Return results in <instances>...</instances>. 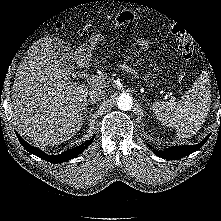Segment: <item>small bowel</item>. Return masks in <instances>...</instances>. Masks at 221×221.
Listing matches in <instances>:
<instances>
[{
    "mask_svg": "<svg viewBox=\"0 0 221 221\" xmlns=\"http://www.w3.org/2000/svg\"><path fill=\"white\" fill-rule=\"evenodd\" d=\"M137 43L143 49L148 47V42L146 40H144V39H140V38L137 39Z\"/></svg>",
    "mask_w": 221,
    "mask_h": 221,
    "instance_id": "c3829d8e",
    "label": "small bowel"
}]
</instances>
